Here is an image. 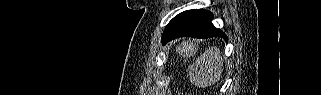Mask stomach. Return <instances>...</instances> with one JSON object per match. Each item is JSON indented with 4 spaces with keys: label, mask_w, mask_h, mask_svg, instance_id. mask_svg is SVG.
Here are the masks:
<instances>
[{
    "label": "stomach",
    "mask_w": 321,
    "mask_h": 95,
    "mask_svg": "<svg viewBox=\"0 0 321 95\" xmlns=\"http://www.w3.org/2000/svg\"><path fill=\"white\" fill-rule=\"evenodd\" d=\"M181 53L192 54L195 51V48L192 44L185 42L179 47Z\"/></svg>",
    "instance_id": "obj_1"
}]
</instances>
